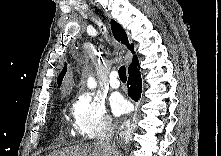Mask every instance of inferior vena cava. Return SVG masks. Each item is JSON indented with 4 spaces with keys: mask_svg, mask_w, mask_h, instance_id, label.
<instances>
[{
    "mask_svg": "<svg viewBox=\"0 0 221 156\" xmlns=\"http://www.w3.org/2000/svg\"><path fill=\"white\" fill-rule=\"evenodd\" d=\"M114 134V126L111 120L106 122V125L98 137L95 145L100 146L106 151L113 152L115 151L114 146L111 144V140Z\"/></svg>",
    "mask_w": 221,
    "mask_h": 156,
    "instance_id": "602c4592",
    "label": "inferior vena cava"
}]
</instances>
